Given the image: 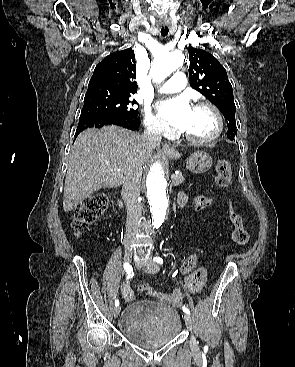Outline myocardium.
Segmentation results:
<instances>
[{
    "instance_id": "myocardium-1",
    "label": "myocardium",
    "mask_w": 295,
    "mask_h": 367,
    "mask_svg": "<svg viewBox=\"0 0 295 367\" xmlns=\"http://www.w3.org/2000/svg\"><path fill=\"white\" fill-rule=\"evenodd\" d=\"M194 108H207L209 109L216 120V129L214 131V133L212 135H210L207 138H202V139H198V138H194L191 137L190 135L182 132V136L184 137V139L186 141H188L191 144L194 145H208L210 143H213L214 141H216L222 134L223 129H224V122H223V117L219 111V109L212 103L208 102V101H198L195 105Z\"/></svg>"
}]
</instances>
